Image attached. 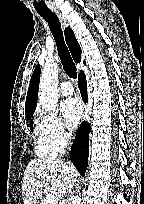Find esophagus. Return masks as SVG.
<instances>
[{
    "instance_id": "obj_1",
    "label": "esophagus",
    "mask_w": 144,
    "mask_h": 204,
    "mask_svg": "<svg viewBox=\"0 0 144 204\" xmlns=\"http://www.w3.org/2000/svg\"><path fill=\"white\" fill-rule=\"evenodd\" d=\"M55 14L59 18V21H60V23L62 24V26L64 28L69 26L68 21L66 20V18L59 11H55ZM87 119H88V116L85 115V119L84 120L87 121Z\"/></svg>"
}]
</instances>
